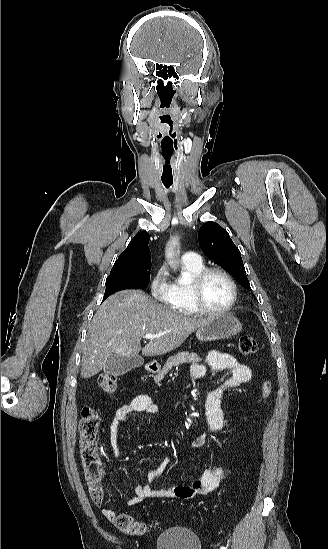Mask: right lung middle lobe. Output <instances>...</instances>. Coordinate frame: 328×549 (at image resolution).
<instances>
[{"mask_svg":"<svg viewBox=\"0 0 328 549\" xmlns=\"http://www.w3.org/2000/svg\"><path fill=\"white\" fill-rule=\"evenodd\" d=\"M151 260H142L110 272L103 301L123 289H140L149 284Z\"/></svg>","mask_w":328,"mask_h":549,"instance_id":"dd1d6c3e","label":"right lung middle lobe"}]
</instances>
